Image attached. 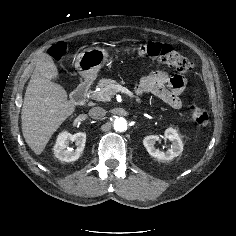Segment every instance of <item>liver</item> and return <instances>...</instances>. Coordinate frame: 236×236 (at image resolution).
<instances>
[{
  "label": "liver",
  "mask_w": 236,
  "mask_h": 236,
  "mask_svg": "<svg viewBox=\"0 0 236 236\" xmlns=\"http://www.w3.org/2000/svg\"><path fill=\"white\" fill-rule=\"evenodd\" d=\"M45 71L43 64L37 61L21 112L23 136L37 155L43 152L54 132L75 111L65 89L52 82Z\"/></svg>",
  "instance_id": "obj_1"
}]
</instances>
